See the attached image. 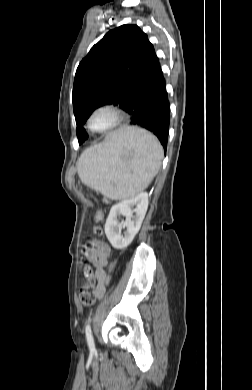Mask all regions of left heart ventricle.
I'll use <instances>...</instances> for the list:
<instances>
[{"label": "left heart ventricle", "mask_w": 252, "mask_h": 390, "mask_svg": "<svg viewBox=\"0 0 252 390\" xmlns=\"http://www.w3.org/2000/svg\"><path fill=\"white\" fill-rule=\"evenodd\" d=\"M111 121V117L107 113H99L93 119V127L102 129L106 127Z\"/></svg>", "instance_id": "1"}]
</instances>
